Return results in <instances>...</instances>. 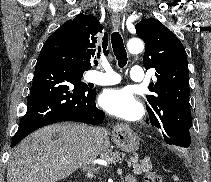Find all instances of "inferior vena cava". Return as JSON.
<instances>
[{"instance_id":"602c4592","label":"inferior vena cava","mask_w":211,"mask_h":182,"mask_svg":"<svg viewBox=\"0 0 211 182\" xmlns=\"http://www.w3.org/2000/svg\"><path fill=\"white\" fill-rule=\"evenodd\" d=\"M95 133H97V130L94 128V129L91 130V135H92V136H91V138H90V141L93 140V135H94ZM93 159H95V157L91 156V158L89 159V162L92 161Z\"/></svg>"}]
</instances>
